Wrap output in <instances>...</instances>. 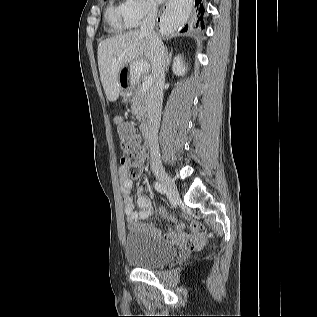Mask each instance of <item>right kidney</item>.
Listing matches in <instances>:
<instances>
[{
    "label": "right kidney",
    "instance_id": "obj_1",
    "mask_svg": "<svg viewBox=\"0 0 317 317\" xmlns=\"http://www.w3.org/2000/svg\"><path fill=\"white\" fill-rule=\"evenodd\" d=\"M172 70L176 75H183L185 73L186 69L181 55H177L174 58Z\"/></svg>",
    "mask_w": 317,
    "mask_h": 317
}]
</instances>
